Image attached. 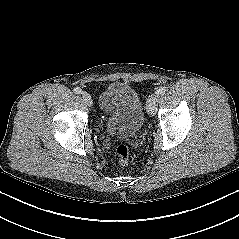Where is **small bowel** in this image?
Instances as JSON below:
<instances>
[{
  "mask_svg": "<svg viewBox=\"0 0 239 239\" xmlns=\"http://www.w3.org/2000/svg\"><path fill=\"white\" fill-rule=\"evenodd\" d=\"M101 106L107 112L112 111L110 92H107L106 94L103 95V97L101 99Z\"/></svg>",
  "mask_w": 239,
  "mask_h": 239,
  "instance_id": "1",
  "label": "small bowel"
}]
</instances>
